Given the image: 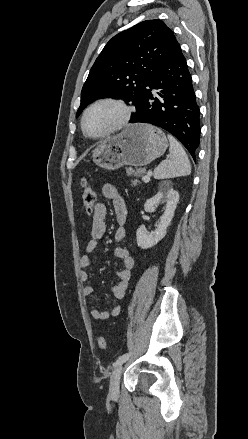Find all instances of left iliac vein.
<instances>
[{
	"instance_id": "obj_1",
	"label": "left iliac vein",
	"mask_w": 248,
	"mask_h": 439,
	"mask_svg": "<svg viewBox=\"0 0 248 439\" xmlns=\"http://www.w3.org/2000/svg\"><path fill=\"white\" fill-rule=\"evenodd\" d=\"M123 372L122 364H119L113 371L110 378L109 394L111 398H117L120 390V378Z\"/></svg>"
}]
</instances>
